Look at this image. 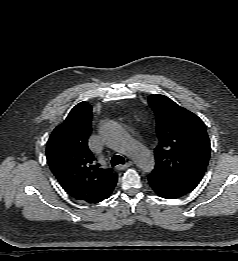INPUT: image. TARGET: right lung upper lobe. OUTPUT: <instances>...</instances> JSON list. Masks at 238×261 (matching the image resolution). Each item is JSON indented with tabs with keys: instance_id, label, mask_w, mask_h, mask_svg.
I'll return each mask as SVG.
<instances>
[{
	"instance_id": "right-lung-upper-lobe-1",
	"label": "right lung upper lobe",
	"mask_w": 238,
	"mask_h": 261,
	"mask_svg": "<svg viewBox=\"0 0 238 261\" xmlns=\"http://www.w3.org/2000/svg\"><path fill=\"white\" fill-rule=\"evenodd\" d=\"M92 107L80 102L52 132L47 162L64 190L78 200L97 203L116 185L117 174L103 169L88 148Z\"/></svg>"
}]
</instances>
